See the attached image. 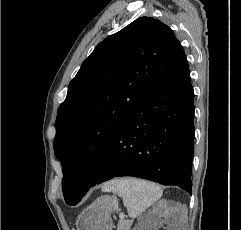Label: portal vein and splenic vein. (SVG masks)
Returning <instances> with one entry per match:
<instances>
[{
  "label": "portal vein and splenic vein",
  "mask_w": 241,
  "mask_h": 230,
  "mask_svg": "<svg viewBox=\"0 0 241 230\" xmlns=\"http://www.w3.org/2000/svg\"><path fill=\"white\" fill-rule=\"evenodd\" d=\"M119 218H120V220H124L125 214H124V213H121V214L119 215Z\"/></svg>",
  "instance_id": "obj_1"
}]
</instances>
